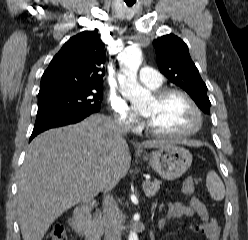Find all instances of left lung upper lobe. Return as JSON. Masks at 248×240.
Masks as SVG:
<instances>
[{
  "label": "left lung upper lobe",
  "mask_w": 248,
  "mask_h": 240,
  "mask_svg": "<svg viewBox=\"0 0 248 240\" xmlns=\"http://www.w3.org/2000/svg\"><path fill=\"white\" fill-rule=\"evenodd\" d=\"M153 45L160 72L184 89L204 113L210 114L207 86L190 57L188 46L173 34L156 39Z\"/></svg>",
  "instance_id": "obj_1"
}]
</instances>
